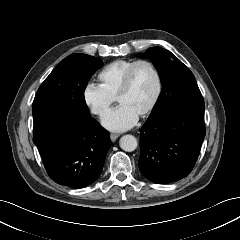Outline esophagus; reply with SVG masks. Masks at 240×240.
Instances as JSON below:
<instances>
[{
  "label": "esophagus",
  "instance_id": "obj_1",
  "mask_svg": "<svg viewBox=\"0 0 240 240\" xmlns=\"http://www.w3.org/2000/svg\"><path fill=\"white\" fill-rule=\"evenodd\" d=\"M120 135L119 134H117V133H111L110 134V138H111V140L114 142V141H116V139L119 137Z\"/></svg>",
  "mask_w": 240,
  "mask_h": 240
}]
</instances>
